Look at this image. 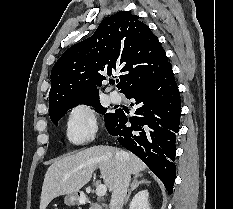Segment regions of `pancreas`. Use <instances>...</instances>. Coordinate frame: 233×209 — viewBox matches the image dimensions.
Instances as JSON below:
<instances>
[{
  "label": "pancreas",
  "instance_id": "obj_1",
  "mask_svg": "<svg viewBox=\"0 0 233 209\" xmlns=\"http://www.w3.org/2000/svg\"><path fill=\"white\" fill-rule=\"evenodd\" d=\"M89 209H101V207L97 203H92Z\"/></svg>",
  "mask_w": 233,
  "mask_h": 209
}]
</instances>
